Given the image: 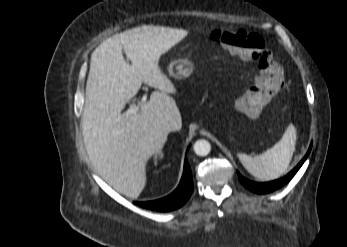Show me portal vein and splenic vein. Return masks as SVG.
<instances>
[{
    "label": "portal vein and splenic vein",
    "mask_w": 347,
    "mask_h": 247,
    "mask_svg": "<svg viewBox=\"0 0 347 247\" xmlns=\"http://www.w3.org/2000/svg\"><path fill=\"white\" fill-rule=\"evenodd\" d=\"M146 99H147V96H146V95H143L142 98H141V100L139 101V104H138V105H132V106H130V108H128V110H127L124 114L118 116V119H117V120L120 121L121 118L124 117V116H128V115H131V114H136V113L139 111V105H140L141 103H145V102H146Z\"/></svg>",
    "instance_id": "18ae733b"
}]
</instances>
